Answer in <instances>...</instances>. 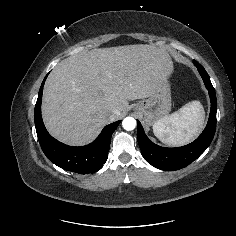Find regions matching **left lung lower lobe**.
Returning a JSON list of instances; mask_svg holds the SVG:
<instances>
[{"label": "left lung lower lobe", "mask_w": 236, "mask_h": 236, "mask_svg": "<svg viewBox=\"0 0 236 236\" xmlns=\"http://www.w3.org/2000/svg\"><path fill=\"white\" fill-rule=\"evenodd\" d=\"M195 65L205 83L211 99V110L206 128L202 134L192 143L177 147H160L149 140L145 135L142 125L137 120V140L144 158L154 167L165 170L175 171L182 169L196 160L210 145L216 130V111L217 101L215 89L211 84L210 78L205 69L195 62Z\"/></svg>", "instance_id": "1"}]
</instances>
